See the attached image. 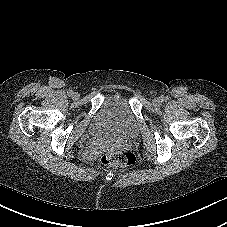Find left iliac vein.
Instances as JSON below:
<instances>
[{
	"mask_svg": "<svg viewBox=\"0 0 227 227\" xmlns=\"http://www.w3.org/2000/svg\"><path fill=\"white\" fill-rule=\"evenodd\" d=\"M153 104H154L155 106H160V105L162 104V101H161L160 98H155V99L153 100Z\"/></svg>",
	"mask_w": 227,
	"mask_h": 227,
	"instance_id": "obj_1",
	"label": "left iliac vein"
}]
</instances>
